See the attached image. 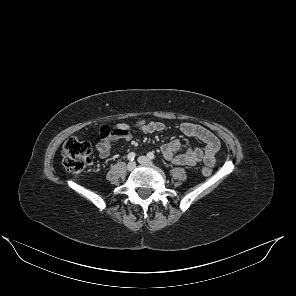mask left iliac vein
I'll return each mask as SVG.
<instances>
[{"mask_svg": "<svg viewBox=\"0 0 296 296\" xmlns=\"http://www.w3.org/2000/svg\"><path fill=\"white\" fill-rule=\"evenodd\" d=\"M138 162L142 165H149V166L152 165V162L148 158H146L145 156L138 157Z\"/></svg>", "mask_w": 296, "mask_h": 296, "instance_id": "1", "label": "left iliac vein"}]
</instances>
